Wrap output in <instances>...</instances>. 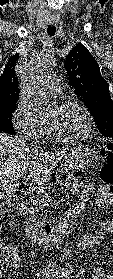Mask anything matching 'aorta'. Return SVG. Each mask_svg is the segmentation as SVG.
Masks as SVG:
<instances>
[{"instance_id": "obj_1", "label": "aorta", "mask_w": 113, "mask_h": 279, "mask_svg": "<svg viewBox=\"0 0 113 279\" xmlns=\"http://www.w3.org/2000/svg\"><path fill=\"white\" fill-rule=\"evenodd\" d=\"M54 64H55L54 60L51 57H48L44 59V61H42L40 67L45 71H49L54 66ZM22 93L26 98L30 99L34 103V107H33L34 111H36L39 114L48 113L50 103L47 97L45 96L38 97V95L33 90L26 87L22 88ZM72 246L74 252H77L75 245H73V242H72ZM75 260L76 259L73 258V261Z\"/></svg>"}]
</instances>
